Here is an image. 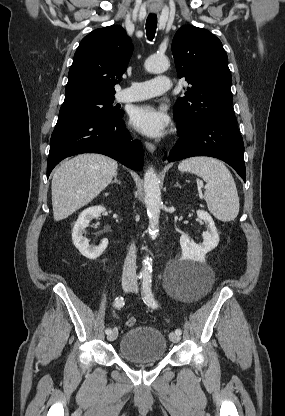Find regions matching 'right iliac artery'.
I'll use <instances>...</instances> for the list:
<instances>
[{
	"mask_svg": "<svg viewBox=\"0 0 285 416\" xmlns=\"http://www.w3.org/2000/svg\"><path fill=\"white\" fill-rule=\"evenodd\" d=\"M142 277V275H140L139 276V278H141ZM124 299H123V297H117L115 300H114V307H116V308H121V307H123L124 306ZM105 332H106V334H110L111 333V329L110 328H107L106 330H105Z\"/></svg>",
	"mask_w": 285,
	"mask_h": 416,
	"instance_id": "82829eb1",
	"label": "right iliac artery"
}]
</instances>
